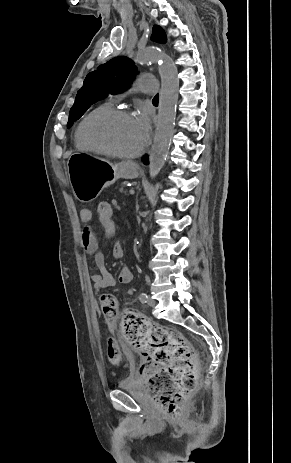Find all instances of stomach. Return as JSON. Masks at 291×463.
Segmentation results:
<instances>
[{
  "mask_svg": "<svg viewBox=\"0 0 291 463\" xmlns=\"http://www.w3.org/2000/svg\"><path fill=\"white\" fill-rule=\"evenodd\" d=\"M69 181L74 196L81 202H91L102 189L119 178L133 179L139 174L132 162L113 164L107 159L75 152L67 160Z\"/></svg>",
  "mask_w": 291,
  "mask_h": 463,
  "instance_id": "0dacf381",
  "label": "stomach"
}]
</instances>
